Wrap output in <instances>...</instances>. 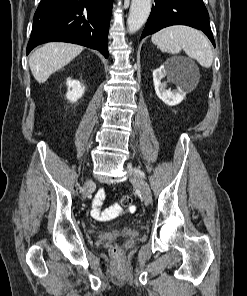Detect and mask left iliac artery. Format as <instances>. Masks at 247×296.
Masks as SVG:
<instances>
[{
    "instance_id": "obj_1",
    "label": "left iliac artery",
    "mask_w": 247,
    "mask_h": 296,
    "mask_svg": "<svg viewBox=\"0 0 247 296\" xmlns=\"http://www.w3.org/2000/svg\"><path fill=\"white\" fill-rule=\"evenodd\" d=\"M135 171H136L137 173H139L142 177H145V175H144V173H143L142 171H140V170H138V169H135Z\"/></svg>"
}]
</instances>
